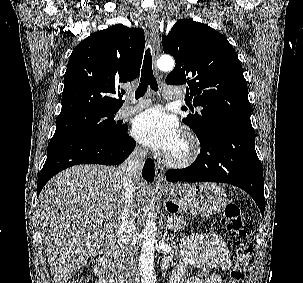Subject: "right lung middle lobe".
<instances>
[{
	"label": "right lung middle lobe",
	"instance_id": "dd1d6c3e",
	"mask_svg": "<svg viewBox=\"0 0 303 283\" xmlns=\"http://www.w3.org/2000/svg\"><path fill=\"white\" fill-rule=\"evenodd\" d=\"M116 112L87 110L58 116L53 137L75 134L99 138L119 137L128 130V127L114 120Z\"/></svg>",
	"mask_w": 303,
	"mask_h": 283
}]
</instances>
